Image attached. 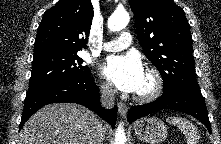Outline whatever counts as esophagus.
Segmentation results:
<instances>
[{
    "label": "esophagus",
    "instance_id": "1",
    "mask_svg": "<svg viewBox=\"0 0 221 144\" xmlns=\"http://www.w3.org/2000/svg\"><path fill=\"white\" fill-rule=\"evenodd\" d=\"M117 106H118V111L120 115L122 117H125L128 112V107L122 102H118Z\"/></svg>",
    "mask_w": 221,
    "mask_h": 144
}]
</instances>
